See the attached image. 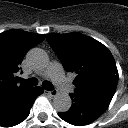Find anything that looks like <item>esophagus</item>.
Wrapping results in <instances>:
<instances>
[{
  "instance_id": "34e87169",
  "label": "esophagus",
  "mask_w": 128,
  "mask_h": 128,
  "mask_svg": "<svg viewBox=\"0 0 128 128\" xmlns=\"http://www.w3.org/2000/svg\"><path fill=\"white\" fill-rule=\"evenodd\" d=\"M45 93L51 97H55L57 95V91L56 90H52V91H45Z\"/></svg>"
}]
</instances>
